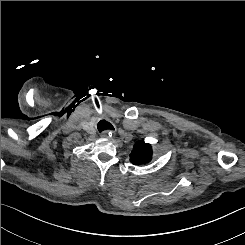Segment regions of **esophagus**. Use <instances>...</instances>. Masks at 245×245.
<instances>
[{"instance_id":"esophagus-1","label":"esophagus","mask_w":245,"mask_h":245,"mask_svg":"<svg viewBox=\"0 0 245 245\" xmlns=\"http://www.w3.org/2000/svg\"><path fill=\"white\" fill-rule=\"evenodd\" d=\"M112 132H113V130H112V131H104V132L101 133V136L104 137V138H106V137H108L110 134H112Z\"/></svg>"}]
</instances>
